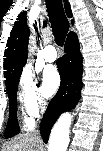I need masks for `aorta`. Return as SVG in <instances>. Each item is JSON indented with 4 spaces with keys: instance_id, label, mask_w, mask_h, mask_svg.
Returning <instances> with one entry per match:
<instances>
[{
    "instance_id": "762f6f07",
    "label": "aorta",
    "mask_w": 103,
    "mask_h": 151,
    "mask_svg": "<svg viewBox=\"0 0 103 151\" xmlns=\"http://www.w3.org/2000/svg\"><path fill=\"white\" fill-rule=\"evenodd\" d=\"M71 121L72 117L69 113H65L59 118L52 130L48 151H67Z\"/></svg>"
}]
</instances>
